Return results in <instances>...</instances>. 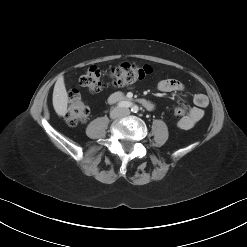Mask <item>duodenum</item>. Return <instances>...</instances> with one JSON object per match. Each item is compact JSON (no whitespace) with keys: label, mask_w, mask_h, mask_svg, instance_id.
<instances>
[{"label":"duodenum","mask_w":247,"mask_h":247,"mask_svg":"<svg viewBox=\"0 0 247 247\" xmlns=\"http://www.w3.org/2000/svg\"><path fill=\"white\" fill-rule=\"evenodd\" d=\"M123 100H129V99L121 93H115L111 95L110 97L111 102H117V101H123Z\"/></svg>","instance_id":"duodenum-1"}]
</instances>
